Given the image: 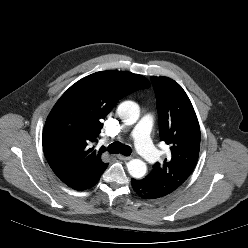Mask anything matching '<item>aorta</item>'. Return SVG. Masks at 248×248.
I'll list each match as a JSON object with an SVG mask.
<instances>
[{
	"label": "aorta",
	"instance_id": "1",
	"mask_svg": "<svg viewBox=\"0 0 248 248\" xmlns=\"http://www.w3.org/2000/svg\"><path fill=\"white\" fill-rule=\"evenodd\" d=\"M118 116L127 125L137 122L140 115L139 105L133 101H124L117 108ZM129 174L134 178H142L147 171L146 163L140 159H132L127 164Z\"/></svg>",
	"mask_w": 248,
	"mask_h": 248
}]
</instances>
